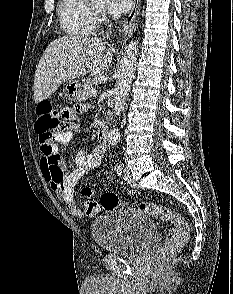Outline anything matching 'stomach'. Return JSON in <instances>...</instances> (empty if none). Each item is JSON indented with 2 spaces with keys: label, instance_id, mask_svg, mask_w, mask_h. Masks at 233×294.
I'll return each instance as SVG.
<instances>
[{
  "label": "stomach",
  "instance_id": "obj_1",
  "mask_svg": "<svg viewBox=\"0 0 233 294\" xmlns=\"http://www.w3.org/2000/svg\"><path fill=\"white\" fill-rule=\"evenodd\" d=\"M63 91L67 100L78 101L81 99L82 86L77 80H67Z\"/></svg>",
  "mask_w": 233,
  "mask_h": 294
}]
</instances>
